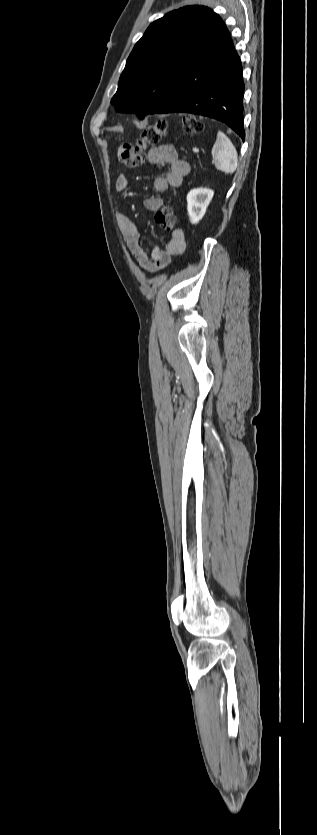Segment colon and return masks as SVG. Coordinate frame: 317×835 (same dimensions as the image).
I'll list each match as a JSON object with an SVG mask.
<instances>
[{"instance_id":"5ec220e1","label":"colon","mask_w":317,"mask_h":835,"mask_svg":"<svg viewBox=\"0 0 317 835\" xmlns=\"http://www.w3.org/2000/svg\"><path fill=\"white\" fill-rule=\"evenodd\" d=\"M182 129L189 134L199 133L202 129V124L192 116H185L182 118ZM167 130V123L159 121L153 125L145 128L137 143L135 145L122 143L118 147V159L127 167H138L146 160L147 148L155 145L165 135ZM157 225L164 231H172L177 223L175 214L170 206H163L155 215Z\"/></svg>"}]
</instances>
